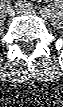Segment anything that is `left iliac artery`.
<instances>
[{
    "mask_svg": "<svg viewBox=\"0 0 63 107\" xmlns=\"http://www.w3.org/2000/svg\"><path fill=\"white\" fill-rule=\"evenodd\" d=\"M17 6H24V5H31L30 3H22V1H18V3L16 4ZM35 8H37L36 6H35ZM40 13H41V15L43 16V17H50V15H51V11L48 9V8H40Z\"/></svg>",
    "mask_w": 63,
    "mask_h": 107,
    "instance_id": "1",
    "label": "left iliac artery"
}]
</instances>
